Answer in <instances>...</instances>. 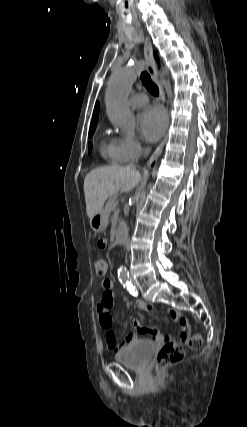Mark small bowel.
Listing matches in <instances>:
<instances>
[{"label":"small bowel","instance_id":"c3829d8e","mask_svg":"<svg viewBox=\"0 0 247 427\" xmlns=\"http://www.w3.org/2000/svg\"><path fill=\"white\" fill-rule=\"evenodd\" d=\"M98 246L99 248L103 249L106 246V240L105 239H99L98 240ZM102 287H103V296L100 304L97 306V313H98V320L99 324L102 329H104L105 332V342L106 346L111 351H116L120 348L119 344L117 343L116 336L113 331H111V326L113 323V319L110 313V310L114 307L115 304V298L114 293L112 291L113 288V281L109 278L104 279L102 281ZM137 306L139 309L144 311H150L151 307L148 306L143 301H138ZM169 316L171 319H173L175 322L179 324L181 327L180 331V340L181 342H187L190 334H191V327L187 321V319L177 310L170 309L168 311ZM134 327L136 329V332L129 333L125 339L123 340V347H126L130 345L131 343L135 342L137 339V333H149L153 340L157 342H172L173 339L170 335L162 336L160 332L155 328L150 327H144L141 325V323L138 320H134L133 322Z\"/></svg>","mask_w":247,"mask_h":427}]
</instances>
